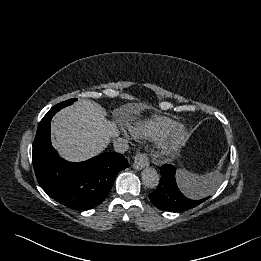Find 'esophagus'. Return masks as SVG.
<instances>
[{"label": "esophagus", "mask_w": 261, "mask_h": 261, "mask_svg": "<svg viewBox=\"0 0 261 261\" xmlns=\"http://www.w3.org/2000/svg\"><path fill=\"white\" fill-rule=\"evenodd\" d=\"M149 165V157L145 153H138L135 157L133 167L136 170H141Z\"/></svg>", "instance_id": "esophagus-1"}]
</instances>
